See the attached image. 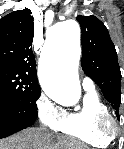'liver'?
Here are the masks:
<instances>
[{
    "instance_id": "1",
    "label": "liver",
    "mask_w": 124,
    "mask_h": 149,
    "mask_svg": "<svg viewBox=\"0 0 124 149\" xmlns=\"http://www.w3.org/2000/svg\"><path fill=\"white\" fill-rule=\"evenodd\" d=\"M0 149H88L74 139L55 136L44 128H29L0 140Z\"/></svg>"
}]
</instances>
